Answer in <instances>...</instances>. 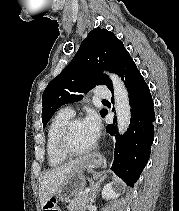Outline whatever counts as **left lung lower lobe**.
I'll list each match as a JSON object with an SVG mask.
<instances>
[{"mask_svg": "<svg viewBox=\"0 0 179 211\" xmlns=\"http://www.w3.org/2000/svg\"><path fill=\"white\" fill-rule=\"evenodd\" d=\"M118 75L124 80L128 90L132 117L124 135L120 136L113 125L106 127L108 133L116 134L111 170L128 186L133 187L150 157L155 114L149 87L130 55L123 60ZM109 89L113 91V87ZM106 114L107 111L102 116Z\"/></svg>", "mask_w": 179, "mask_h": 211, "instance_id": "1", "label": "left lung lower lobe"}]
</instances>
